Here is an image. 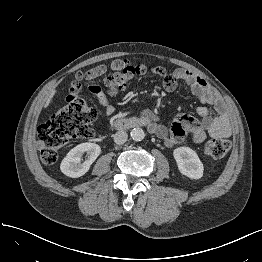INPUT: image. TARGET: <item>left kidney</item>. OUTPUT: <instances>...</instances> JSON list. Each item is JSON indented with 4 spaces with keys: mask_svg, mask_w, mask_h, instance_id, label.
I'll return each instance as SVG.
<instances>
[{
    "mask_svg": "<svg viewBox=\"0 0 262 262\" xmlns=\"http://www.w3.org/2000/svg\"><path fill=\"white\" fill-rule=\"evenodd\" d=\"M173 156L183 175L191 179H200L203 176V164L194 150L189 147H179L173 151Z\"/></svg>",
    "mask_w": 262,
    "mask_h": 262,
    "instance_id": "obj_1",
    "label": "left kidney"
}]
</instances>
